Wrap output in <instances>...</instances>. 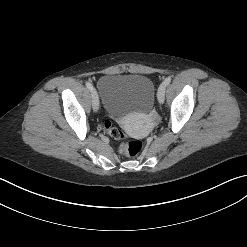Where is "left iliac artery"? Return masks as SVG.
<instances>
[{
    "mask_svg": "<svg viewBox=\"0 0 247 247\" xmlns=\"http://www.w3.org/2000/svg\"><path fill=\"white\" fill-rule=\"evenodd\" d=\"M170 82H171V77L169 76L164 80L163 83L165 84V86H167Z\"/></svg>",
    "mask_w": 247,
    "mask_h": 247,
    "instance_id": "left-iliac-artery-1",
    "label": "left iliac artery"
}]
</instances>
